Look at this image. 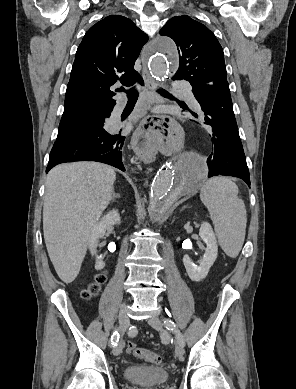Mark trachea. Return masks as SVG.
<instances>
[{"mask_svg":"<svg viewBox=\"0 0 296 389\" xmlns=\"http://www.w3.org/2000/svg\"><path fill=\"white\" fill-rule=\"evenodd\" d=\"M122 90H124V89H121L120 91H122ZM159 92L163 95L168 94L164 90H159ZM138 95H139V93H138L137 89H135V88H132V89L127 91L128 100H137Z\"/></svg>","mask_w":296,"mask_h":389,"instance_id":"obj_1","label":"trachea"}]
</instances>
